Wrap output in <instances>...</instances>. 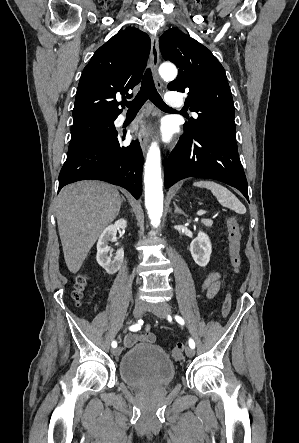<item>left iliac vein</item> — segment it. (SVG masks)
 <instances>
[{"instance_id": "4c4485c4", "label": "left iliac vein", "mask_w": 299, "mask_h": 443, "mask_svg": "<svg viewBox=\"0 0 299 443\" xmlns=\"http://www.w3.org/2000/svg\"><path fill=\"white\" fill-rule=\"evenodd\" d=\"M146 309L160 318H166L171 313V307L167 303L148 305ZM185 352L188 357H193L195 354L194 349L191 347H186Z\"/></svg>"}]
</instances>
